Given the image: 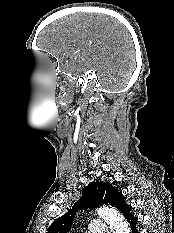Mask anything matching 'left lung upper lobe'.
<instances>
[{
	"label": "left lung upper lobe",
	"mask_w": 174,
	"mask_h": 233,
	"mask_svg": "<svg viewBox=\"0 0 174 233\" xmlns=\"http://www.w3.org/2000/svg\"><path fill=\"white\" fill-rule=\"evenodd\" d=\"M104 204L117 208L124 217L132 208L126 204L122 193H119L112 184L92 182L83 188L82 196L73 208L52 223L48 233H68L79 209L95 208Z\"/></svg>",
	"instance_id": "obj_1"
}]
</instances>
